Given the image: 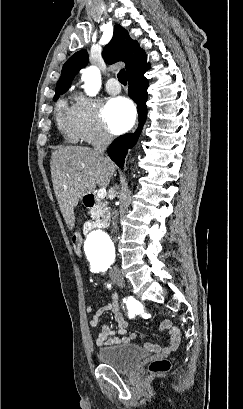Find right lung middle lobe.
Segmentation results:
<instances>
[{"label":"right lung middle lobe","mask_w":243,"mask_h":409,"mask_svg":"<svg viewBox=\"0 0 243 409\" xmlns=\"http://www.w3.org/2000/svg\"><path fill=\"white\" fill-rule=\"evenodd\" d=\"M62 93L55 94L54 100H57Z\"/></svg>","instance_id":"right-lung-middle-lobe-1"}]
</instances>
